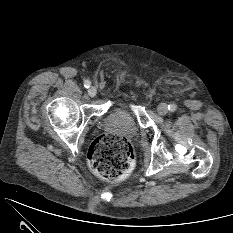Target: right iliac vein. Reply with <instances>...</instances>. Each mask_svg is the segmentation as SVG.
Returning a JSON list of instances; mask_svg holds the SVG:
<instances>
[{"label":"right iliac vein","instance_id":"63e3f726","mask_svg":"<svg viewBox=\"0 0 233 233\" xmlns=\"http://www.w3.org/2000/svg\"><path fill=\"white\" fill-rule=\"evenodd\" d=\"M88 94H89V96L90 97H94V96H96V94H97V89L95 88V87H90L89 89H88Z\"/></svg>","mask_w":233,"mask_h":233}]
</instances>
